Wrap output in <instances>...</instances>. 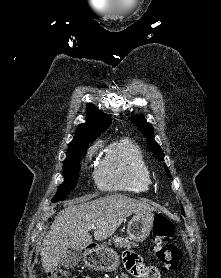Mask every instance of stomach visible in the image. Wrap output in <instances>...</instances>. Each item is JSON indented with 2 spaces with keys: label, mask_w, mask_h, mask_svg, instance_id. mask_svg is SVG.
<instances>
[{
  "label": "stomach",
  "mask_w": 221,
  "mask_h": 278,
  "mask_svg": "<svg viewBox=\"0 0 221 278\" xmlns=\"http://www.w3.org/2000/svg\"><path fill=\"white\" fill-rule=\"evenodd\" d=\"M154 215L152 213L135 214L128 223L127 234L133 242L145 240L153 229ZM86 263L94 270L114 271L119 266V256L105 245L97 246L85 256Z\"/></svg>",
  "instance_id": "0dacf381"
}]
</instances>
